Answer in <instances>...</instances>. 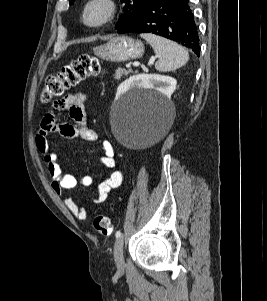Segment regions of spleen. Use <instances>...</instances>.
Returning <instances> with one entry per match:
<instances>
[{
    "instance_id": "obj_1",
    "label": "spleen",
    "mask_w": 267,
    "mask_h": 301,
    "mask_svg": "<svg viewBox=\"0 0 267 301\" xmlns=\"http://www.w3.org/2000/svg\"><path fill=\"white\" fill-rule=\"evenodd\" d=\"M141 37L152 46L155 54L159 57L155 63L156 70L173 71L188 62V52L177 43L154 34H141Z\"/></svg>"
}]
</instances>
